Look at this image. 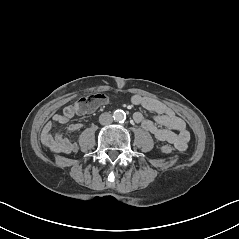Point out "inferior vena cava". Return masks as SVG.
<instances>
[{
    "instance_id": "602c4592",
    "label": "inferior vena cava",
    "mask_w": 239,
    "mask_h": 239,
    "mask_svg": "<svg viewBox=\"0 0 239 239\" xmlns=\"http://www.w3.org/2000/svg\"><path fill=\"white\" fill-rule=\"evenodd\" d=\"M99 122L102 125H109L113 122V118L110 113L104 112L99 116Z\"/></svg>"
}]
</instances>
